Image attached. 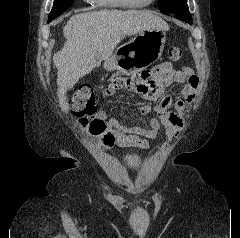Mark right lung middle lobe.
<instances>
[{
	"mask_svg": "<svg viewBox=\"0 0 240 238\" xmlns=\"http://www.w3.org/2000/svg\"><path fill=\"white\" fill-rule=\"evenodd\" d=\"M73 0H54L53 8L49 14L48 22L59 16L63 11L71 6Z\"/></svg>",
	"mask_w": 240,
	"mask_h": 238,
	"instance_id": "dd1d6c3e",
	"label": "right lung middle lobe"
}]
</instances>
